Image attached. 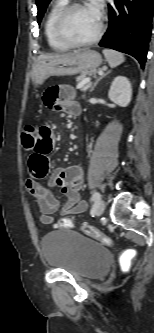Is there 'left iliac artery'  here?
<instances>
[{
    "label": "left iliac artery",
    "mask_w": 154,
    "mask_h": 333,
    "mask_svg": "<svg viewBox=\"0 0 154 333\" xmlns=\"http://www.w3.org/2000/svg\"><path fill=\"white\" fill-rule=\"evenodd\" d=\"M100 193L95 191L93 194H92V197H91V200L93 202H98L100 200Z\"/></svg>",
    "instance_id": "left-iliac-artery-1"
}]
</instances>
